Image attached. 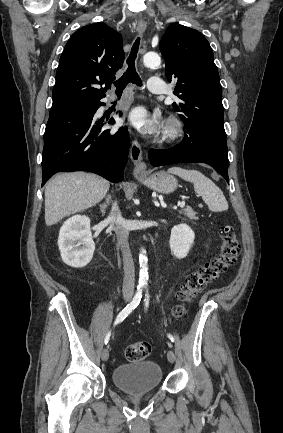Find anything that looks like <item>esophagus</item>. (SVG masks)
Instances as JSON below:
<instances>
[{
	"instance_id": "obj_1",
	"label": "esophagus",
	"mask_w": 283,
	"mask_h": 433,
	"mask_svg": "<svg viewBox=\"0 0 283 433\" xmlns=\"http://www.w3.org/2000/svg\"><path fill=\"white\" fill-rule=\"evenodd\" d=\"M146 30L145 22H138L137 32L143 34ZM130 158L134 164V174H140L146 171V164L143 162L142 149L137 140H133L130 147Z\"/></svg>"
}]
</instances>
